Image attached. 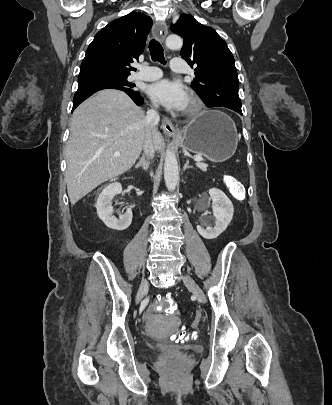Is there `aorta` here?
<instances>
[{
	"label": "aorta",
	"instance_id": "1",
	"mask_svg": "<svg viewBox=\"0 0 332 405\" xmlns=\"http://www.w3.org/2000/svg\"><path fill=\"white\" fill-rule=\"evenodd\" d=\"M166 46L169 49H180L183 46V40L177 35H170L166 39ZM164 179L169 191H174L179 180V166L175 153L168 149L164 162Z\"/></svg>",
	"mask_w": 332,
	"mask_h": 405
}]
</instances>
